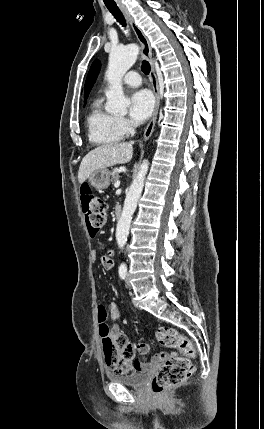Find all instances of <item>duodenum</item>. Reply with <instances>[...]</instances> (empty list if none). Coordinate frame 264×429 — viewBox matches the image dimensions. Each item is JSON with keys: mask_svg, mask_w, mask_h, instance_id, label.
Wrapping results in <instances>:
<instances>
[{"mask_svg": "<svg viewBox=\"0 0 264 429\" xmlns=\"http://www.w3.org/2000/svg\"><path fill=\"white\" fill-rule=\"evenodd\" d=\"M121 214H122V209H121L120 206H117L116 209H115V216H116V218H120Z\"/></svg>", "mask_w": 264, "mask_h": 429, "instance_id": "duodenum-1", "label": "duodenum"}]
</instances>
